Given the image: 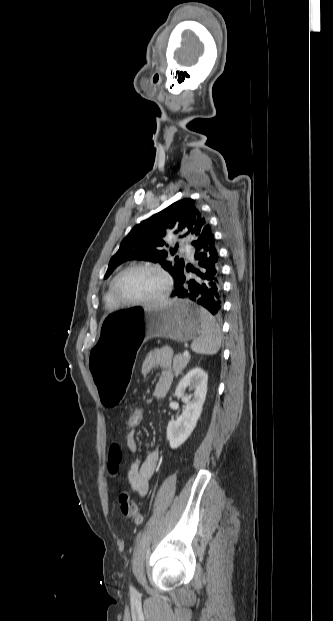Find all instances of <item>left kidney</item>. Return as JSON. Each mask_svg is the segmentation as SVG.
<instances>
[{"mask_svg":"<svg viewBox=\"0 0 333 621\" xmlns=\"http://www.w3.org/2000/svg\"><path fill=\"white\" fill-rule=\"evenodd\" d=\"M208 375L201 368H193L179 382L175 396L185 403V410L176 421L172 420L167 426V439L170 447L176 449L191 435L202 413L206 399ZM194 391L190 400L186 390Z\"/></svg>","mask_w":333,"mask_h":621,"instance_id":"5707ae66","label":"left kidney"}]
</instances>
